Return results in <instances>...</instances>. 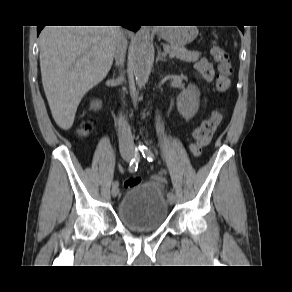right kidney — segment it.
Instances as JSON below:
<instances>
[{
  "label": "right kidney",
  "instance_id": "obj_1",
  "mask_svg": "<svg viewBox=\"0 0 292 292\" xmlns=\"http://www.w3.org/2000/svg\"><path fill=\"white\" fill-rule=\"evenodd\" d=\"M92 106H94L95 108H99L100 107V104L96 101L92 104Z\"/></svg>",
  "mask_w": 292,
  "mask_h": 292
}]
</instances>
